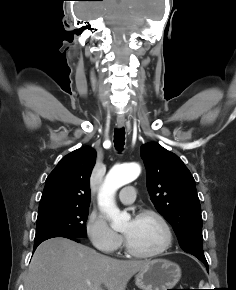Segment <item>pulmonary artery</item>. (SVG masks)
Here are the masks:
<instances>
[{
  "instance_id": "obj_1",
  "label": "pulmonary artery",
  "mask_w": 236,
  "mask_h": 290,
  "mask_svg": "<svg viewBox=\"0 0 236 290\" xmlns=\"http://www.w3.org/2000/svg\"><path fill=\"white\" fill-rule=\"evenodd\" d=\"M135 195V188L133 186H126L121 190L119 194V199L122 203L130 204L134 201Z\"/></svg>"
}]
</instances>
